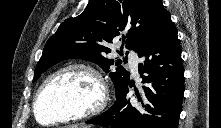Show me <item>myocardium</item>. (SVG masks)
I'll use <instances>...</instances> for the list:
<instances>
[{
  "label": "myocardium",
  "instance_id": "myocardium-1",
  "mask_svg": "<svg viewBox=\"0 0 221 128\" xmlns=\"http://www.w3.org/2000/svg\"><path fill=\"white\" fill-rule=\"evenodd\" d=\"M73 70L82 71L93 78L95 85H96V92H95V95H94L91 103L87 107H85L83 110H81L80 112L71 113V114H67L62 117H58L49 123H42L41 121H39V119L37 117V105H38V102L41 98V95H42L46 85L53 78L59 76L60 74H62L64 72H68V71H73ZM107 101H108V90H107V86L104 81V78L102 77L100 72L88 64L72 63V64H68L66 66H63V67L57 69L56 71H54L53 73L48 75L42 81V83L39 85V87L35 93V96H34L33 115L38 123L45 124V125H56V124H62V123L76 122V121H79V120L84 119L86 117L98 115L100 112H102L104 110V108L107 104Z\"/></svg>",
  "mask_w": 221,
  "mask_h": 128
}]
</instances>
